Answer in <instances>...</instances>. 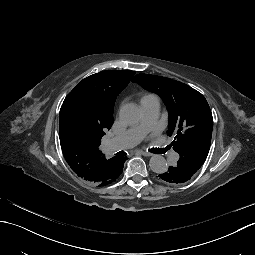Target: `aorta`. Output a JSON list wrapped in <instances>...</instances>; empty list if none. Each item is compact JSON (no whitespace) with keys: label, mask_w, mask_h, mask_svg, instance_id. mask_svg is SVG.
I'll list each match as a JSON object with an SVG mask.
<instances>
[{"label":"aorta","mask_w":255,"mask_h":255,"mask_svg":"<svg viewBox=\"0 0 255 255\" xmlns=\"http://www.w3.org/2000/svg\"><path fill=\"white\" fill-rule=\"evenodd\" d=\"M120 119L126 124H135L139 121L141 113L135 104H126L121 107L119 112ZM149 166L155 173H164L168 169L166 159L161 155H153L150 158Z\"/></svg>","instance_id":"obj_1"}]
</instances>
